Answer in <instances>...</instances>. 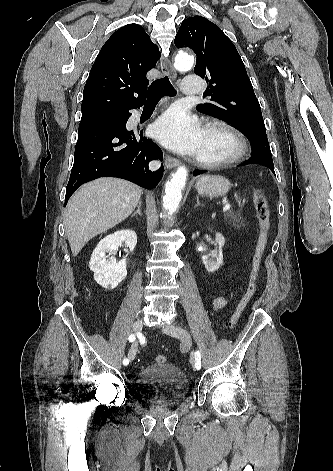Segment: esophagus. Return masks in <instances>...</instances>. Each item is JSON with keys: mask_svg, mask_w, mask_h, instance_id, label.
Here are the masks:
<instances>
[{"mask_svg": "<svg viewBox=\"0 0 333 471\" xmlns=\"http://www.w3.org/2000/svg\"><path fill=\"white\" fill-rule=\"evenodd\" d=\"M160 67L162 71L169 75L172 79L177 77L176 70L174 69L173 65L171 64L169 58L161 57L160 59ZM165 165L168 169H172L180 165V160L173 158L169 155L165 156Z\"/></svg>", "mask_w": 333, "mask_h": 471, "instance_id": "obj_1", "label": "esophagus"}]
</instances>
